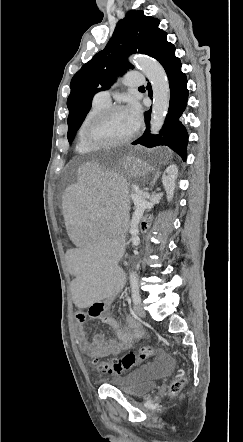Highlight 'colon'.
Returning <instances> with one entry per match:
<instances>
[{
	"instance_id": "5ec220e1",
	"label": "colon",
	"mask_w": 243,
	"mask_h": 442,
	"mask_svg": "<svg viewBox=\"0 0 243 442\" xmlns=\"http://www.w3.org/2000/svg\"><path fill=\"white\" fill-rule=\"evenodd\" d=\"M154 223L152 216H144L140 224V231L147 234L150 226ZM157 349L153 346H142L137 352H128L123 357H107L106 361L96 360L94 357H85V366H94V368L103 374H121L127 372L155 355ZM185 384V378L179 377L170 385V391L173 394L178 393Z\"/></svg>"
}]
</instances>
